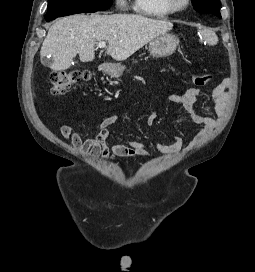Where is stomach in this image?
<instances>
[{
  "label": "stomach",
  "instance_id": "0dacf381",
  "mask_svg": "<svg viewBox=\"0 0 255 272\" xmlns=\"http://www.w3.org/2000/svg\"><path fill=\"white\" fill-rule=\"evenodd\" d=\"M179 40L171 33H163L155 37L149 43L150 55L155 58L167 57L176 51ZM107 72L111 77H119L125 70V66L121 63L109 64Z\"/></svg>",
  "mask_w": 255,
  "mask_h": 272
}]
</instances>
